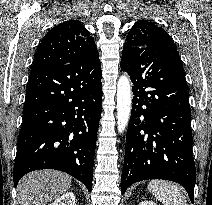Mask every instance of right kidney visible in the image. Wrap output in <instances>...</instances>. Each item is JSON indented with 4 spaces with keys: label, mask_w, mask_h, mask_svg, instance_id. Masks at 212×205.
Masks as SVG:
<instances>
[{
    "label": "right kidney",
    "mask_w": 212,
    "mask_h": 205,
    "mask_svg": "<svg viewBox=\"0 0 212 205\" xmlns=\"http://www.w3.org/2000/svg\"><path fill=\"white\" fill-rule=\"evenodd\" d=\"M49 205H76L73 192H67Z\"/></svg>",
    "instance_id": "right-kidney-1"
}]
</instances>
